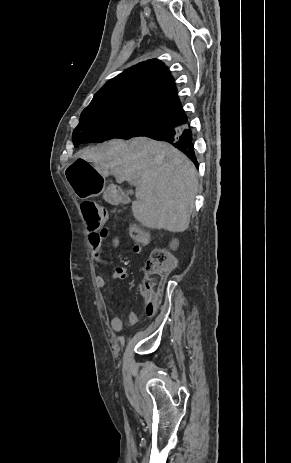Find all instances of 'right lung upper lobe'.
<instances>
[{
  "mask_svg": "<svg viewBox=\"0 0 291 463\" xmlns=\"http://www.w3.org/2000/svg\"><path fill=\"white\" fill-rule=\"evenodd\" d=\"M85 109L139 112L187 123L174 79L157 59L138 63L106 82Z\"/></svg>",
  "mask_w": 291,
  "mask_h": 463,
  "instance_id": "1",
  "label": "right lung upper lobe"
}]
</instances>
